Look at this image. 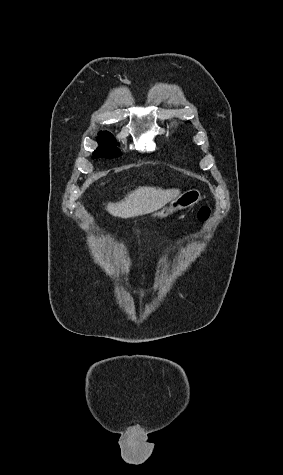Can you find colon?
Returning a JSON list of instances; mask_svg holds the SVG:
<instances>
[{
    "instance_id": "1",
    "label": "colon",
    "mask_w": 283,
    "mask_h": 475,
    "mask_svg": "<svg viewBox=\"0 0 283 475\" xmlns=\"http://www.w3.org/2000/svg\"><path fill=\"white\" fill-rule=\"evenodd\" d=\"M211 214V207L208 205L202 206L199 209L198 217L201 221L206 220Z\"/></svg>"
}]
</instances>
